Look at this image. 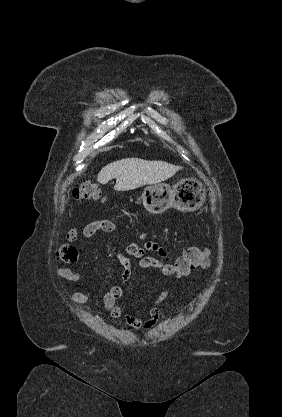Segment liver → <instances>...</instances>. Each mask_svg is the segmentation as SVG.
Segmentation results:
<instances>
[{"instance_id": "obj_1", "label": "liver", "mask_w": 282, "mask_h": 417, "mask_svg": "<svg viewBox=\"0 0 282 417\" xmlns=\"http://www.w3.org/2000/svg\"><path fill=\"white\" fill-rule=\"evenodd\" d=\"M182 166H175L164 160H143V158H121L106 164L98 172L97 180L107 184L116 178L115 190H131L143 184H158L173 176Z\"/></svg>"}]
</instances>
